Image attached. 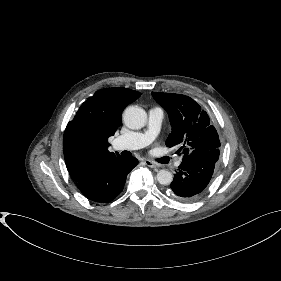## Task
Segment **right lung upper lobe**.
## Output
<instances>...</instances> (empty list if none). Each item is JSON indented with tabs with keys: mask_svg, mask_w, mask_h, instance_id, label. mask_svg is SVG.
Wrapping results in <instances>:
<instances>
[{
	"mask_svg": "<svg viewBox=\"0 0 281 281\" xmlns=\"http://www.w3.org/2000/svg\"><path fill=\"white\" fill-rule=\"evenodd\" d=\"M140 95L122 87L105 88L81 105L63 137L66 167L75 182L82 180L100 161L115 155L108 151V138L120 126L124 108Z\"/></svg>",
	"mask_w": 281,
	"mask_h": 281,
	"instance_id": "right-lung-upper-lobe-1",
	"label": "right lung upper lobe"
}]
</instances>
